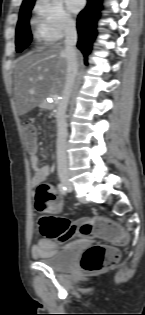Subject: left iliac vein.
Instances as JSON below:
<instances>
[{
  "label": "left iliac vein",
  "instance_id": "left-iliac-vein-1",
  "mask_svg": "<svg viewBox=\"0 0 145 315\" xmlns=\"http://www.w3.org/2000/svg\"><path fill=\"white\" fill-rule=\"evenodd\" d=\"M68 189H69V190H71V189H72L71 185H69V186H68Z\"/></svg>",
  "mask_w": 145,
  "mask_h": 315
}]
</instances>
